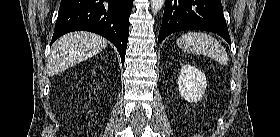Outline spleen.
I'll use <instances>...</instances> for the list:
<instances>
[{
  "instance_id": "spleen-1",
  "label": "spleen",
  "mask_w": 280,
  "mask_h": 137,
  "mask_svg": "<svg viewBox=\"0 0 280 137\" xmlns=\"http://www.w3.org/2000/svg\"><path fill=\"white\" fill-rule=\"evenodd\" d=\"M177 45L183 50L203 54L211 57L223 65H227L229 58L224 47L209 34L189 32L177 39Z\"/></svg>"
}]
</instances>
